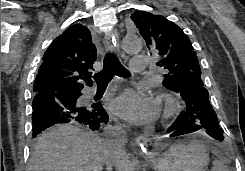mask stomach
<instances>
[{"label": "stomach", "mask_w": 245, "mask_h": 171, "mask_svg": "<svg viewBox=\"0 0 245 171\" xmlns=\"http://www.w3.org/2000/svg\"><path fill=\"white\" fill-rule=\"evenodd\" d=\"M211 147L194 140L171 146L161 157L151 160L156 171H205Z\"/></svg>", "instance_id": "stomach-1"}]
</instances>
